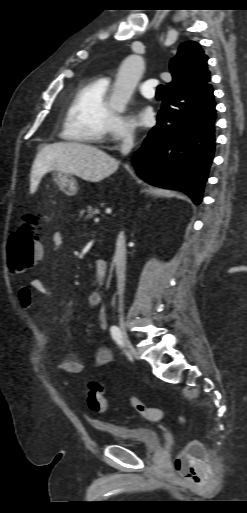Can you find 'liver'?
<instances>
[{
	"mask_svg": "<svg viewBox=\"0 0 247 513\" xmlns=\"http://www.w3.org/2000/svg\"><path fill=\"white\" fill-rule=\"evenodd\" d=\"M118 168V161L96 147L75 142L44 146L36 155L30 178V191L35 192L48 171L73 174L89 182H99Z\"/></svg>",
	"mask_w": 247,
	"mask_h": 513,
	"instance_id": "1",
	"label": "liver"
}]
</instances>
